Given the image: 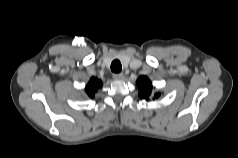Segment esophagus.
Listing matches in <instances>:
<instances>
[{"label":"esophagus","mask_w":238,"mask_h":158,"mask_svg":"<svg viewBox=\"0 0 238 158\" xmlns=\"http://www.w3.org/2000/svg\"><path fill=\"white\" fill-rule=\"evenodd\" d=\"M113 78L115 80H122L124 78V74L123 73H115V74H113Z\"/></svg>","instance_id":"obj_1"}]
</instances>
